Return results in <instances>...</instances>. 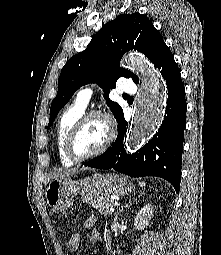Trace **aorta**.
Returning <instances> with one entry per match:
<instances>
[{"instance_id": "1", "label": "aorta", "mask_w": 221, "mask_h": 255, "mask_svg": "<svg viewBox=\"0 0 221 255\" xmlns=\"http://www.w3.org/2000/svg\"><path fill=\"white\" fill-rule=\"evenodd\" d=\"M122 66L135 72L140 78L132 124L125 142L127 151L133 153L143 141L149 140L156 133L162 123L166 89L143 55L130 53L123 59Z\"/></svg>"}]
</instances>
